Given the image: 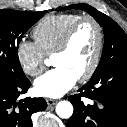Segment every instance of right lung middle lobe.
Returning a JSON list of instances; mask_svg holds the SVG:
<instances>
[{
  "instance_id": "right-lung-middle-lobe-1",
  "label": "right lung middle lobe",
  "mask_w": 127,
  "mask_h": 127,
  "mask_svg": "<svg viewBox=\"0 0 127 127\" xmlns=\"http://www.w3.org/2000/svg\"><path fill=\"white\" fill-rule=\"evenodd\" d=\"M44 13L0 10V76L16 81L26 78L19 62L18 46L24 33Z\"/></svg>"
}]
</instances>
